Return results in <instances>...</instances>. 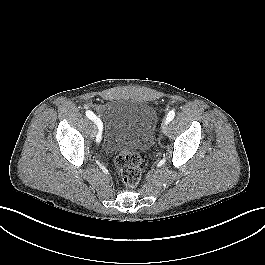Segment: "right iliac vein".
<instances>
[{
  "label": "right iliac vein",
  "instance_id": "right-iliac-vein-1",
  "mask_svg": "<svg viewBox=\"0 0 265 265\" xmlns=\"http://www.w3.org/2000/svg\"><path fill=\"white\" fill-rule=\"evenodd\" d=\"M96 132H97V129L96 127H94L93 133L96 134Z\"/></svg>",
  "mask_w": 265,
  "mask_h": 265
}]
</instances>
